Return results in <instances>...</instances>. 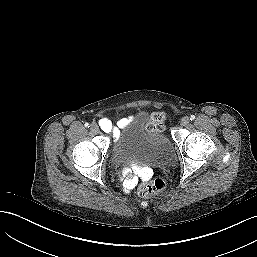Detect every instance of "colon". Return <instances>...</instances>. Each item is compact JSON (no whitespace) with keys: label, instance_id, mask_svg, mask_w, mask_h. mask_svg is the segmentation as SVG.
<instances>
[{"label":"colon","instance_id":"1","mask_svg":"<svg viewBox=\"0 0 257 257\" xmlns=\"http://www.w3.org/2000/svg\"><path fill=\"white\" fill-rule=\"evenodd\" d=\"M166 120V115L163 112H155L151 116L150 124L154 129L162 130ZM166 189V181L157 178L143 182L138 188V194L142 197H147L155 193L162 192Z\"/></svg>","mask_w":257,"mask_h":257}]
</instances>
